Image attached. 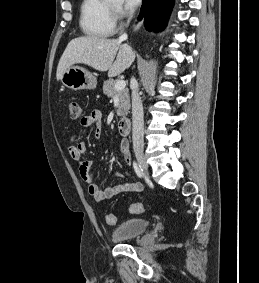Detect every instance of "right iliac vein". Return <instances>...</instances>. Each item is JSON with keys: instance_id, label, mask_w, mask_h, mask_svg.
Here are the masks:
<instances>
[{"instance_id": "1", "label": "right iliac vein", "mask_w": 259, "mask_h": 283, "mask_svg": "<svg viewBox=\"0 0 259 283\" xmlns=\"http://www.w3.org/2000/svg\"><path fill=\"white\" fill-rule=\"evenodd\" d=\"M136 158L143 170L148 174V164L145 160V157L142 152L137 151L136 152Z\"/></svg>"}]
</instances>
